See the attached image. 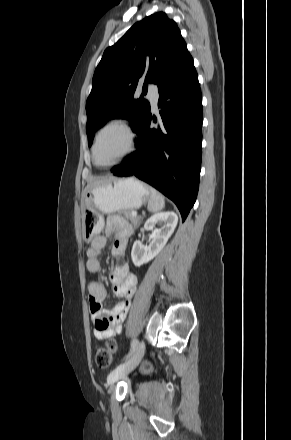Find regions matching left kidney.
<instances>
[{
	"label": "left kidney",
	"instance_id": "obj_1",
	"mask_svg": "<svg viewBox=\"0 0 291 440\" xmlns=\"http://www.w3.org/2000/svg\"><path fill=\"white\" fill-rule=\"evenodd\" d=\"M178 223V216L173 211L160 212L152 215L144 224V229L152 231V240L148 246L140 241H135L131 251L132 261L135 266L148 263L156 257L166 245ZM161 226L156 229L155 225Z\"/></svg>",
	"mask_w": 291,
	"mask_h": 440
}]
</instances>
